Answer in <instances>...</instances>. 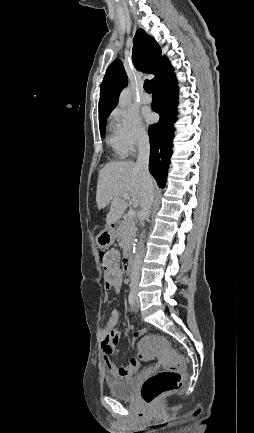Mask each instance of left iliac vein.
<instances>
[{
	"mask_svg": "<svg viewBox=\"0 0 254 433\" xmlns=\"http://www.w3.org/2000/svg\"><path fill=\"white\" fill-rule=\"evenodd\" d=\"M135 300H136L135 308H137V307H138V304H139V299H138V297H137V292H135Z\"/></svg>",
	"mask_w": 254,
	"mask_h": 433,
	"instance_id": "1",
	"label": "left iliac vein"
}]
</instances>
